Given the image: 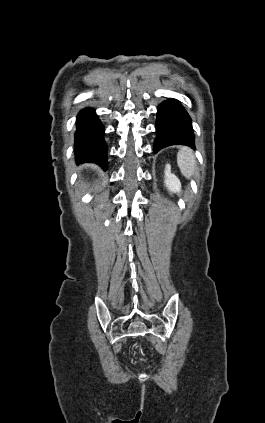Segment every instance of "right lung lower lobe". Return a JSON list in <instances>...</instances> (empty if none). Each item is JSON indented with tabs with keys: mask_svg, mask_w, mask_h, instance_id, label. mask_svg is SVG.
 <instances>
[{
	"mask_svg": "<svg viewBox=\"0 0 265 423\" xmlns=\"http://www.w3.org/2000/svg\"><path fill=\"white\" fill-rule=\"evenodd\" d=\"M104 128L94 109L82 110L77 118L75 157L79 162H94L107 169V145Z\"/></svg>",
	"mask_w": 265,
	"mask_h": 423,
	"instance_id": "98d812e1",
	"label": "right lung lower lobe"
}]
</instances>
